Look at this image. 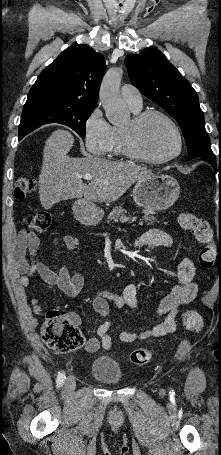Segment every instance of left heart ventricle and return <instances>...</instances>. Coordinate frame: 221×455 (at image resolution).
Returning <instances> with one entry per match:
<instances>
[{"instance_id": "1", "label": "left heart ventricle", "mask_w": 221, "mask_h": 455, "mask_svg": "<svg viewBox=\"0 0 221 455\" xmlns=\"http://www.w3.org/2000/svg\"><path fill=\"white\" fill-rule=\"evenodd\" d=\"M130 122L124 127L129 126ZM139 148L154 158H165L177 150V138L171 126L160 117L149 119L137 136Z\"/></svg>"}]
</instances>
